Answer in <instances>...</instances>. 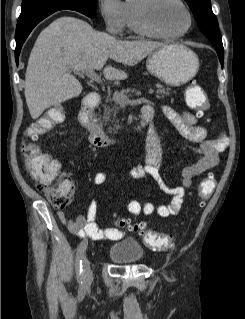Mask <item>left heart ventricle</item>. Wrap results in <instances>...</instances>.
<instances>
[{
  "label": "left heart ventricle",
  "mask_w": 245,
  "mask_h": 319,
  "mask_svg": "<svg viewBox=\"0 0 245 319\" xmlns=\"http://www.w3.org/2000/svg\"><path fill=\"white\" fill-rule=\"evenodd\" d=\"M151 18L157 27L170 33L182 31L188 23L185 10L175 0H157Z\"/></svg>",
  "instance_id": "1"
}]
</instances>
